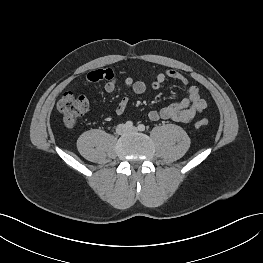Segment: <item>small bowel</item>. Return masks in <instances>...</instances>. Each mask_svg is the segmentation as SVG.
Returning <instances> with one entry per match:
<instances>
[{
	"label": "small bowel",
	"mask_w": 263,
	"mask_h": 263,
	"mask_svg": "<svg viewBox=\"0 0 263 263\" xmlns=\"http://www.w3.org/2000/svg\"><path fill=\"white\" fill-rule=\"evenodd\" d=\"M167 79L179 81L184 85H188L189 83L188 79L183 74L176 70L168 69L158 73L150 87H148L143 81L134 80L131 77H126L120 81L114 70L107 68L90 71L85 76L83 85L89 86L93 83L105 80L104 90L107 93H113L118 84L121 83L123 87L131 89L136 95H142L149 90H159ZM127 105L128 99L123 98L116 107V113L118 115H123L126 111ZM205 108L206 102L201 98L199 89L194 85H190L187 88V98L179 103L163 107L160 110H152L147 116L151 121L164 119L178 123H189L197 114L203 112Z\"/></svg>",
	"instance_id": "obj_1"
}]
</instances>
